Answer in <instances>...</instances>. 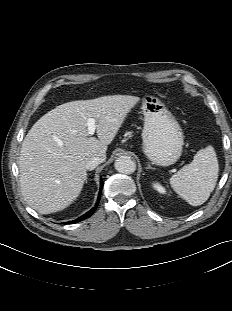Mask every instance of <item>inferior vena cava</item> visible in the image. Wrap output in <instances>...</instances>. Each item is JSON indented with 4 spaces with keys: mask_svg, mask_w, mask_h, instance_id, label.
<instances>
[{
    "mask_svg": "<svg viewBox=\"0 0 232 311\" xmlns=\"http://www.w3.org/2000/svg\"><path fill=\"white\" fill-rule=\"evenodd\" d=\"M104 161L102 157L94 156L91 157L89 160L85 163V168L87 170H93L95 169L99 164H101Z\"/></svg>",
    "mask_w": 232,
    "mask_h": 311,
    "instance_id": "1",
    "label": "inferior vena cava"
}]
</instances>
